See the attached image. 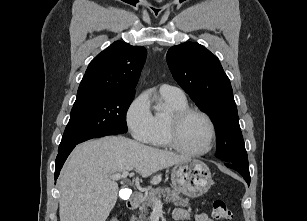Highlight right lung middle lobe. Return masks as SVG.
Instances as JSON below:
<instances>
[{"instance_id": "dd1d6c3e", "label": "right lung middle lobe", "mask_w": 307, "mask_h": 221, "mask_svg": "<svg viewBox=\"0 0 307 221\" xmlns=\"http://www.w3.org/2000/svg\"><path fill=\"white\" fill-rule=\"evenodd\" d=\"M134 95L106 94L75 102L58 151L89 139L127 132L126 112Z\"/></svg>"}]
</instances>
